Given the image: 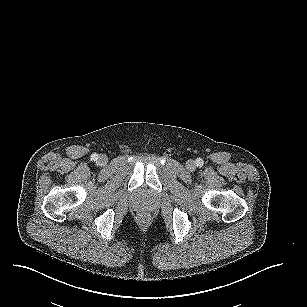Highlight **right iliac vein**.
I'll return each instance as SVG.
<instances>
[{
	"instance_id": "63e3f726",
	"label": "right iliac vein",
	"mask_w": 307,
	"mask_h": 307,
	"mask_svg": "<svg viewBox=\"0 0 307 307\" xmlns=\"http://www.w3.org/2000/svg\"><path fill=\"white\" fill-rule=\"evenodd\" d=\"M97 162L100 166H105L108 162V158L106 155H100Z\"/></svg>"
}]
</instances>
